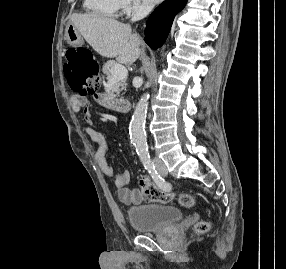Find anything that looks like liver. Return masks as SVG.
I'll return each instance as SVG.
<instances>
[{"instance_id": "obj_1", "label": "liver", "mask_w": 286, "mask_h": 269, "mask_svg": "<svg viewBox=\"0 0 286 269\" xmlns=\"http://www.w3.org/2000/svg\"><path fill=\"white\" fill-rule=\"evenodd\" d=\"M70 23L103 57H116L118 62L130 65L142 53L144 43L137 34H132L129 24L95 13H75L70 17Z\"/></svg>"}]
</instances>
